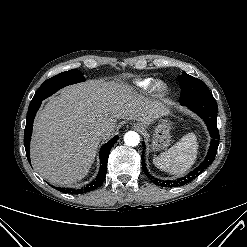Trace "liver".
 Masks as SVG:
<instances>
[{
  "label": "liver",
  "mask_w": 247,
  "mask_h": 247,
  "mask_svg": "<svg viewBox=\"0 0 247 247\" xmlns=\"http://www.w3.org/2000/svg\"><path fill=\"white\" fill-rule=\"evenodd\" d=\"M170 113L161 101L138 94L128 84L90 80L52 97L34 125L31 160L50 183L71 186L89 172L101 140L113 134L118 119L153 123ZM105 126L102 137L94 129Z\"/></svg>",
  "instance_id": "6515ba94"
}]
</instances>
